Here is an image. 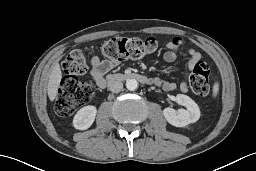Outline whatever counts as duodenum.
Wrapping results in <instances>:
<instances>
[{
  "label": "duodenum",
  "instance_id": "duodenum-1",
  "mask_svg": "<svg viewBox=\"0 0 256 171\" xmlns=\"http://www.w3.org/2000/svg\"><path fill=\"white\" fill-rule=\"evenodd\" d=\"M127 80H135L138 82H141L143 84H148L150 80L141 74L137 73H114L108 76L107 80L105 81V85H110L113 83L121 82V81H127Z\"/></svg>",
  "mask_w": 256,
  "mask_h": 171
}]
</instances>
